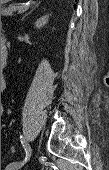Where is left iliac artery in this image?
I'll return each mask as SVG.
<instances>
[{
    "label": "left iliac artery",
    "mask_w": 109,
    "mask_h": 170,
    "mask_svg": "<svg viewBox=\"0 0 109 170\" xmlns=\"http://www.w3.org/2000/svg\"><path fill=\"white\" fill-rule=\"evenodd\" d=\"M20 139H21V143L25 149V152H26V157H25V160L26 159H29L30 156H31V148L30 146L28 145V143L25 141V139L23 138L22 135H20Z\"/></svg>",
    "instance_id": "left-iliac-artery-1"
}]
</instances>
